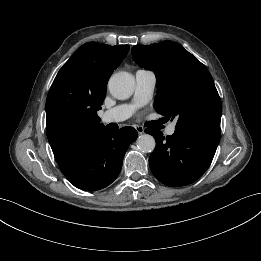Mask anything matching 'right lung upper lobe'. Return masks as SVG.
I'll use <instances>...</instances> for the list:
<instances>
[{"label":"right lung upper lobe","instance_id":"1","mask_svg":"<svg viewBox=\"0 0 261 261\" xmlns=\"http://www.w3.org/2000/svg\"><path fill=\"white\" fill-rule=\"evenodd\" d=\"M129 50L88 42L79 47L56 75L46 100V132L62 172L73 166L105 130L97 111L107 82Z\"/></svg>","mask_w":261,"mask_h":261}]
</instances>
